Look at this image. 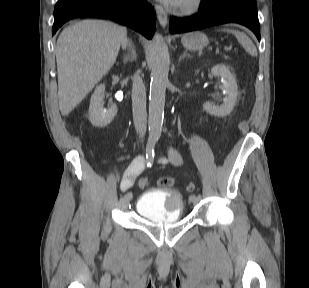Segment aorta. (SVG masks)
<instances>
[{"label":"aorta","mask_w":309,"mask_h":288,"mask_svg":"<svg viewBox=\"0 0 309 288\" xmlns=\"http://www.w3.org/2000/svg\"><path fill=\"white\" fill-rule=\"evenodd\" d=\"M169 63L168 47L164 43L162 36L155 33L152 44L148 119L149 137L154 140L159 139L162 130Z\"/></svg>","instance_id":"1"}]
</instances>
